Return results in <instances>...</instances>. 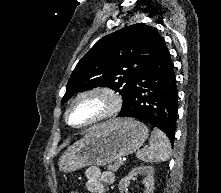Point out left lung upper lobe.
Masks as SVG:
<instances>
[{
    "label": "left lung upper lobe",
    "instance_id": "5c2ea615",
    "mask_svg": "<svg viewBox=\"0 0 221 193\" xmlns=\"http://www.w3.org/2000/svg\"><path fill=\"white\" fill-rule=\"evenodd\" d=\"M165 48L164 38L157 29L144 23L104 36L76 65L61 102H66L80 91L99 86L119 92L125 102L136 77Z\"/></svg>",
    "mask_w": 221,
    "mask_h": 193
}]
</instances>
